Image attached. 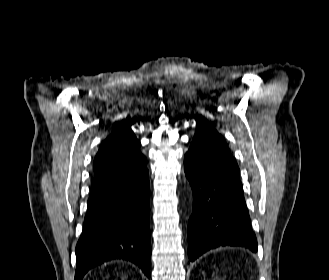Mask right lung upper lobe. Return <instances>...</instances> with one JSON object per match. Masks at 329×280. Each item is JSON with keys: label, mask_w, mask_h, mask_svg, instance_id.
<instances>
[{"label": "right lung upper lobe", "mask_w": 329, "mask_h": 280, "mask_svg": "<svg viewBox=\"0 0 329 280\" xmlns=\"http://www.w3.org/2000/svg\"><path fill=\"white\" fill-rule=\"evenodd\" d=\"M139 147L140 142L131 130V123L118 126V129L100 145L94 161V175L146 165Z\"/></svg>", "instance_id": "1"}]
</instances>
